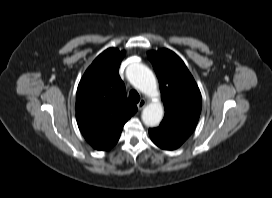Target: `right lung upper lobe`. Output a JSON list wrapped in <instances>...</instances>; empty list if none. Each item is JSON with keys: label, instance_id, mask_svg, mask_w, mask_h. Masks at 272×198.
<instances>
[{"label": "right lung upper lobe", "instance_id": "right-lung-upper-lobe-1", "mask_svg": "<svg viewBox=\"0 0 272 198\" xmlns=\"http://www.w3.org/2000/svg\"><path fill=\"white\" fill-rule=\"evenodd\" d=\"M125 51L109 48L84 73L76 94V119L87 142L97 150L108 148L121 134L137 107L126 96L119 76Z\"/></svg>", "mask_w": 272, "mask_h": 198}]
</instances>
